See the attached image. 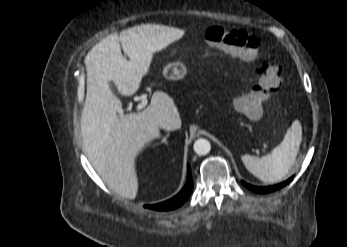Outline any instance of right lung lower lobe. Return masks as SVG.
<instances>
[{"mask_svg":"<svg viewBox=\"0 0 347 247\" xmlns=\"http://www.w3.org/2000/svg\"><path fill=\"white\" fill-rule=\"evenodd\" d=\"M192 189H193V180H192V176H191L190 166L188 165L187 182H186L184 188L173 198H171L165 202H161V203L154 204V205H149L147 207L149 209L160 210V211H166V210H172V209L178 208L189 198V196L192 192Z\"/></svg>","mask_w":347,"mask_h":247,"instance_id":"1","label":"right lung lower lobe"}]
</instances>
